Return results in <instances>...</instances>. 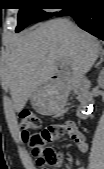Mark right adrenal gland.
I'll use <instances>...</instances> for the list:
<instances>
[{"label":"right adrenal gland","instance_id":"1","mask_svg":"<svg viewBox=\"0 0 104 169\" xmlns=\"http://www.w3.org/2000/svg\"><path fill=\"white\" fill-rule=\"evenodd\" d=\"M104 62V49H101L100 60L96 63L95 68H98Z\"/></svg>","mask_w":104,"mask_h":169}]
</instances>
